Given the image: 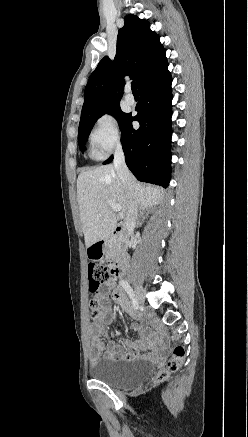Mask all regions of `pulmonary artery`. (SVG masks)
<instances>
[{
	"label": "pulmonary artery",
	"instance_id": "e3ab8cb5",
	"mask_svg": "<svg viewBox=\"0 0 248 437\" xmlns=\"http://www.w3.org/2000/svg\"><path fill=\"white\" fill-rule=\"evenodd\" d=\"M125 101L129 104V105H133L135 103V99L134 96L132 95L129 87L126 90V95H125Z\"/></svg>",
	"mask_w": 248,
	"mask_h": 437
}]
</instances>
